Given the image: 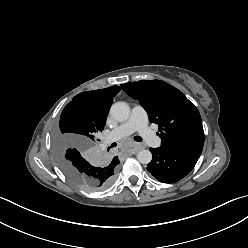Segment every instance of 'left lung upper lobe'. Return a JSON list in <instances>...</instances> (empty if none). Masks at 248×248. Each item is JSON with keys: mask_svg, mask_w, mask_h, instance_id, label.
I'll use <instances>...</instances> for the list:
<instances>
[{"mask_svg": "<svg viewBox=\"0 0 248 248\" xmlns=\"http://www.w3.org/2000/svg\"><path fill=\"white\" fill-rule=\"evenodd\" d=\"M122 89L137 99L150 121L159 126L161 146L203 139L204 131L197 108L186 96L161 80L126 83Z\"/></svg>", "mask_w": 248, "mask_h": 248, "instance_id": "1", "label": "left lung upper lobe"}]
</instances>
